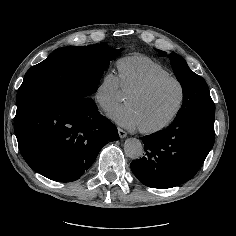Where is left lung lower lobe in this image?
<instances>
[{"mask_svg": "<svg viewBox=\"0 0 236 236\" xmlns=\"http://www.w3.org/2000/svg\"><path fill=\"white\" fill-rule=\"evenodd\" d=\"M215 116H186L142 137L145 155L131 163L138 180L152 188L181 185L199 170L213 147Z\"/></svg>", "mask_w": 236, "mask_h": 236, "instance_id": "0a47b994", "label": "left lung lower lobe"}]
</instances>
